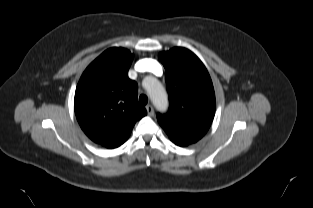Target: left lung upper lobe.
<instances>
[{
    "mask_svg": "<svg viewBox=\"0 0 313 208\" xmlns=\"http://www.w3.org/2000/svg\"><path fill=\"white\" fill-rule=\"evenodd\" d=\"M166 70L170 107L157 120L173 143L187 146L208 131L215 114V93L209 73L190 50L176 47L159 54Z\"/></svg>",
    "mask_w": 313,
    "mask_h": 208,
    "instance_id": "1",
    "label": "left lung upper lobe"
}]
</instances>
